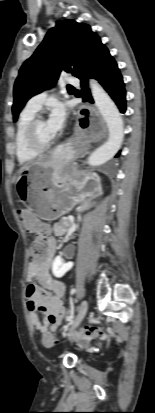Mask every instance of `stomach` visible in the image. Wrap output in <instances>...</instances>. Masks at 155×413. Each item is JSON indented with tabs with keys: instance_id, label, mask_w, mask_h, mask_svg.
<instances>
[{
	"instance_id": "stomach-1",
	"label": "stomach",
	"mask_w": 155,
	"mask_h": 413,
	"mask_svg": "<svg viewBox=\"0 0 155 413\" xmlns=\"http://www.w3.org/2000/svg\"><path fill=\"white\" fill-rule=\"evenodd\" d=\"M20 201L39 218L55 220L100 192L99 178L65 169L53 157L25 165L16 180Z\"/></svg>"
}]
</instances>
